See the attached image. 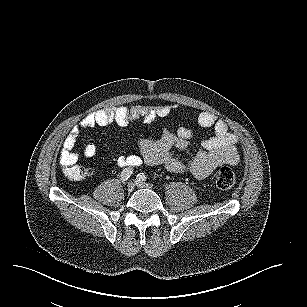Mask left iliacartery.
<instances>
[{
    "label": "left iliac artery",
    "instance_id": "obj_1",
    "mask_svg": "<svg viewBox=\"0 0 307 307\" xmlns=\"http://www.w3.org/2000/svg\"><path fill=\"white\" fill-rule=\"evenodd\" d=\"M146 180V175L144 173H139L137 175V181H145Z\"/></svg>",
    "mask_w": 307,
    "mask_h": 307
}]
</instances>
